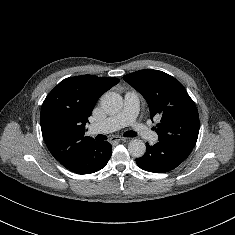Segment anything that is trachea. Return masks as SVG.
I'll return each mask as SVG.
<instances>
[{
  "label": "trachea",
  "instance_id": "obj_1",
  "mask_svg": "<svg viewBox=\"0 0 235 235\" xmlns=\"http://www.w3.org/2000/svg\"><path fill=\"white\" fill-rule=\"evenodd\" d=\"M137 134L136 132L134 131H127L124 133V136L125 137H135ZM107 137L105 135H102V134H99L97 137H96V140H106Z\"/></svg>",
  "mask_w": 235,
  "mask_h": 235
}]
</instances>
